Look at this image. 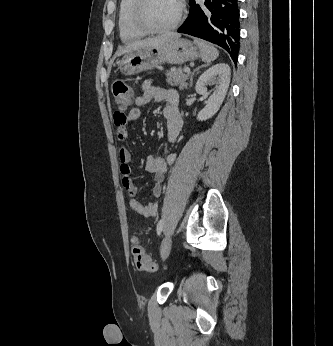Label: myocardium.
Instances as JSON below:
<instances>
[{"mask_svg":"<svg viewBox=\"0 0 333 346\" xmlns=\"http://www.w3.org/2000/svg\"><path fill=\"white\" fill-rule=\"evenodd\" d=\"M148 1L149 0H136L135 6H134L133 20L135 25L140 30H142L144 33H149V34H161V33H166L168 31H171L179 25L185 11L184 0H177L178 2L177 13L173 21L164 27H155L148 21L146 17V7H147Z\"/></svg>","mask_w":333,"mask_h":346,"instance_id":"f54148a6","label":"myocardium"}]
</instances>
